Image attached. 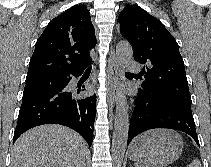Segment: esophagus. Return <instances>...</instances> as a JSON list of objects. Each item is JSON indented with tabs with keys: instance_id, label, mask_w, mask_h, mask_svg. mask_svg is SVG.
<instances>
[{
	"instance_id": "obj_1",
	"label": "esophagus",
	"mask_w": 211,
	"mask_h": 167,
	"mask_svg": "<svg viewBox=\"0 0 211 167\" xmlns=\"http://www.w3.org/2000/svg\"><path fill=\"white\" fill-rule=\"evenodd\" d=\"M108 81H107V87H108V98L111 103V105H114L116 101L117 91V67H116V58L114 51H111L109 59H108Z\"/></svg>"
}]
</instances>
